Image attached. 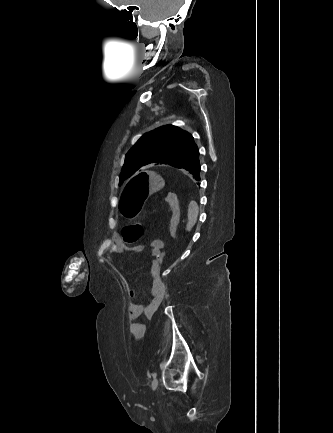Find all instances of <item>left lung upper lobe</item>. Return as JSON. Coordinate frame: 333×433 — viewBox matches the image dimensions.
Masks as SVG:
<instances>
[{"label": "left lung upper lobe", "mask_w": 333, "mask_h": 433, "mask_svg": "<svg viewBox=\"0 0 333 433\" xmlns=\"http://www.w3.org/2000/svg\"><path fill=\"white\" fill-rule=\"evenodd\" d=\"M199 156L194 138L186 131L165 125L144 134L126 154L119 184L148 164L183 168Z\"/></svg>", "instance_id": "5c2ea615"}]
</instances>
